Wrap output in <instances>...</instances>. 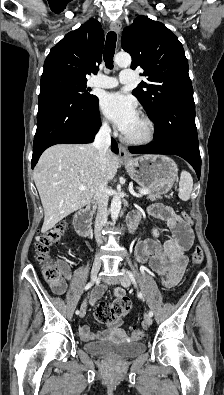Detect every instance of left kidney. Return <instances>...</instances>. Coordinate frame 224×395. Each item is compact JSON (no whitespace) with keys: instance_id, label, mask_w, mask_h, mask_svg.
Returning a JSON list of instances; mask_svg holds the SVG:
<instances>
[{"instance_id":"obj_1","label":"left kidney","mask_w":224,"mask_h":395,"mask_svg":"<svg viewBox=\"0 0 224 395\" xmlns=\"http://www.w3.org/2000/svg\"><path fill=\"white\" fill-rule=\"evenodd\" d=\"M153 234H154L156 237H158V235H159V233L157 232L156 229L153 230Z\"/></svg>"}]
</instances>
